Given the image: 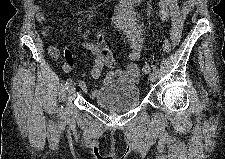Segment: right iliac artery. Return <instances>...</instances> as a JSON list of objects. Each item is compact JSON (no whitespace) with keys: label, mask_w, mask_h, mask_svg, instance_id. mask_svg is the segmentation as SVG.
I'll list each match as a JSON object with an SVG mask.
<instances>
[{"label":"right iliac artery","mask_w":225,"mask_h":159,"mask_svg":"<svg viewBox=\"0 0 225 159\" xmlns=\"http://www.w3.org/2000/svg\"><path fill=\"white\" fill-rule=\"evenodd\" d=\"M71 84H72V79H71V78L67 79V81H66V83H65L66 88L68 89V87H69ZM62 108H63V107L61 106L60 112H63V109H62Z\"/></svg>","instance_id":"right-iliac-artery-1"}]
</instances>
